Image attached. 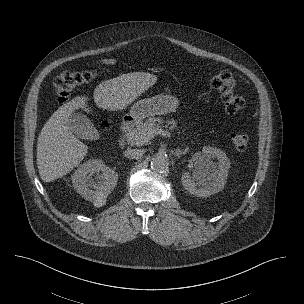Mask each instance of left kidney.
Here are the masks:
<instances>
[{
    "mask_svg": "<svg viewBox=\"0 0 304 304\" xmlns=\"http://www.w3.org/2000/svg\"><path fill=\"white\" fill-rule=\"evenodd\" d=\"M218 162H213L212 159ZM194 170L182 174L183 187L197 197H208L221 191L228 177L230 161L224 151L218 148L205 146L193 158Z\"/></svg>",
    "mask_w": 304,
    "mask_h": 304,
    "instance_id": "1",
    "label": "left kidney"
}]
</instances>
